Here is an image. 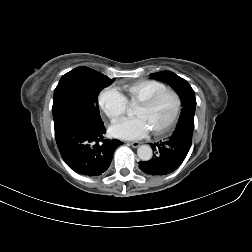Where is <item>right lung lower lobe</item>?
Wrapping results in <instances>:
<instances>
[{"label":"right lung lower lobe","mask_w":252,"mask_h":252,"mask_svg":"<svg viewBox=\"0 0 252 252\" xmlns=\"http://www.w3.org/2000/svg\"><path fill=\"white\" fill-rule=\"evenodd\" d=\"M55 138L63 160L75 172L99 176L111 164L115 149L123 143L104 139L103 123L68 115L54 121Z\"/></svg>","instance_id":"obj_1"}]
</instances>
